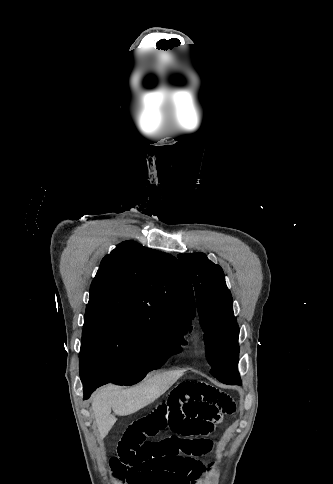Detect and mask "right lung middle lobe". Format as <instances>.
<instances>
[{
    "label": "right lung middle lobe",
    "mask_w": 333,
    "mask_h": 484,
    "mask_svg": "<svg viewBox=\"0 0 333 484\" xmlns=\"http://www.w3.org/2000/svg\"><path fill=\"white\" fill-rule=\"evenodd\" d=\"M189 322L179 316L149 317L119 310L86 311L80 377L132 385L160 368L180 346Z\"/></svg>",
    "instance_id": "obj_1"
}]
</instances>
